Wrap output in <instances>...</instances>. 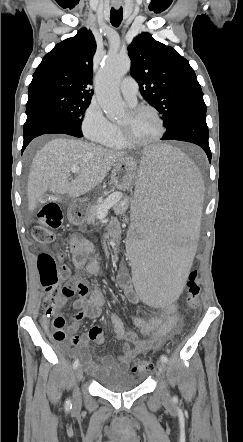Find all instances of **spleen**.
Here are the masks:
<instances>
[{"instance_id": "3e777b00", "label": "spleen", "mask_w": 243, "mask_h": 442, "mask_svg": "<svg viewBox=\"0 0 243 442\" xmlns=\"http://www.w3.org/2000/svg\"><path fill=\"white\" fill-rule=\"evenodd\" d=\"M133 181V239H127L134 296L148 307H170L182 295L201 226L205 180L183 152L169 145L141 147ZM159 192V193H141Z\"/></svg>"}]
</instances>
